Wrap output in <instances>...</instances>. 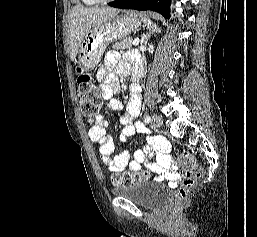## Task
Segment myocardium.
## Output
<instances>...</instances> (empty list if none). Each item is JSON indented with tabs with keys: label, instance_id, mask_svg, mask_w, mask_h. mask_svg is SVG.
Returning a JSON list of instances; mask_svg holds the SVG:
<instances>
[{
	"label": "myocardium",
	"instance_id": "1",
	"mask_svg": "<svg viewBox=\"0 0 257 237\" xmlns=\"http://www.w3.org/2000/svg\"><path fill=\"white\" fill-rule=\"evenodd\" d=\"M98 2H109V1H113V0H97Z\"/></svg>",
	"mask_w": 257,
	"mask_h": 237
}]
</instances>
